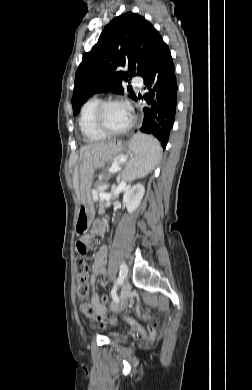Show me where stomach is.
I'll return each instance as SVG.
<instances>
[{
  "mask_svg": "<svg viewBox=\"0 0 252 390\" xmlns=\"http://www.w3.org/2000/svg\"><path fill=\"white\" fill-rule=\"evenodd\" d=\"M123 147L120 143H109L104 147L88 150L84 153L80 165V206L77 213L75 227L84 231L89 227L95 216L94 203L91 199L90 188L97 169L103 168Z\"/></svg>",
  "mask_w": 252,
  "mask_h": 390,
  "instance_id": "obj_1",
  "label": "stomach"
}]
</instances>
